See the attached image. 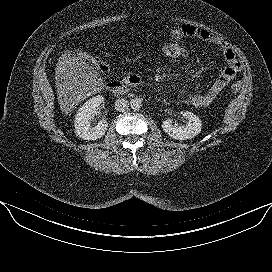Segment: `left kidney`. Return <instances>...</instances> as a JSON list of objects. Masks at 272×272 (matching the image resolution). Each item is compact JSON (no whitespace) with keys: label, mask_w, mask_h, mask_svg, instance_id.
Wrapping results in <instances>:
<instances>
[{"label":"left kidney","mask_w":272,"mask_h":272,"mask_svg":"<svg viewBox=\"0 0 272 272\" xmlns=\"http://www.w3.org/2000/svg\"><path fill=\"white\" fill-rule=\"evenodd\" d=\"M183 116L188 120L186 125H173L171 119L162 123L163 131L173 139H192L201 132L202 124L198 116L188 111L184 112Z\"/></svg>","instance_id":"left-kidney-1"}]
</instances>
